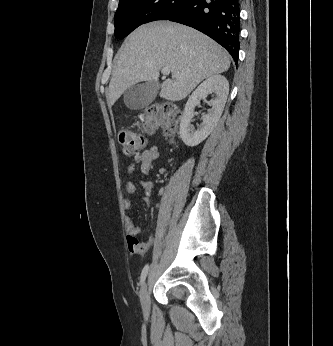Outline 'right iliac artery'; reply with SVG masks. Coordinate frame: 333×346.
<instances>
[{"mask_svg": "<svg viewBox=\"0 0 333 346\" xmlns=\"http://www.w3.org/2000/svg\"><path fill=\"white\" fill-rule=\"evenodd\" d=\"M148 270H149V265L146 264L145 267L143 268L142 270V273H141V277H140V283L142 284L144 282V280L146 279L147 277V274H148Z\"/></svg>", "mask_w": 333, "mask_h": 346, "instance_id": "obj_1", "label": "right iliac artery"}]
</instances>
